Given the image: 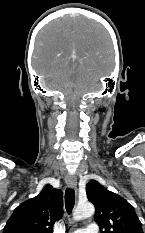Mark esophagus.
<instances>
[{
    "label": "esophagus",
    "instance_id": "esophagus-1",
    "mask_svg": "<svg viewBox=\"0 0 145 233\" xmlns=\"http://www.w3.org/2000/svg\"><path fill=\"white\" fill-rule=\"evenodd\" d=\"M66 185L71 189H76L77 180L74 175L68 174L65 178Z\"/></svg>",
    "mask_w": 145,
    "mask_h": 233
}]
</instances>
